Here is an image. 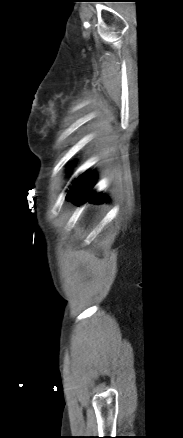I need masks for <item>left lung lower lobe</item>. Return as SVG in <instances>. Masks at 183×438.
<instances>
[{
  "mask_svg": "<svg viewBox=\"0 0 183 438\" xmlns=\"http://www.w3.org/2000/svg\"><path fill=\"white\" fill-rule=\"evenodd\" d=\"M95 175L92 173H84L79 176L70 187L66 196V200L75 205H79L83 201L90 199V202H104L105 197L100 194L93 195L91 189L94 185Z\"/></svg>",
  "mask_w": 183,
  "mask_h": 438,
  "instance_id": "1",
  "label": "left lung lower lobe"
}]
</instances>
